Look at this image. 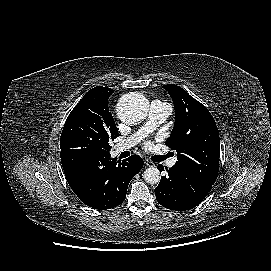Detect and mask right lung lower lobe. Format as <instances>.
<instances>
[{
    "label": "right lung lower lobe",
    "mask_w": 271,
    "mask_h": 271,
    "mask_svg": "<svg viewBox=\"0 0 271 271\" xmlns=\"http://www.w3.org/2000/svg\"><path fill=\"white\" fill-rule=\"evenodd\" d=\"M60 156L71 189L84 204L98 210L122 204L129 182L143 167L136 155L120 162L110 153L65 149Z\"/></svg>",
    "instance_id": "right-lung-lower-lobe-1"
}]
</instances>
